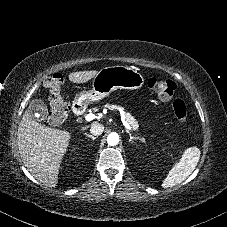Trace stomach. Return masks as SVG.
<instances>
[{
  "instance_id": "obj_1",
  "label": "stomach",
  "mask_w": 227,
  "mask_h": 227,
  "mask_svg": "<svg viewBox=\"0 0 227 227\" xmlns=\"http://www.w3.org/2000/svg\"><path fill=\"white\" fill-rule=\"evenodd\" d=\"M144 77L134 67L109 66L102 68L94 77L92 89L80 92L74 103L86 105L108 96L116 89L136 90L143 86Z\"/></svg>"
}]
</instances>
